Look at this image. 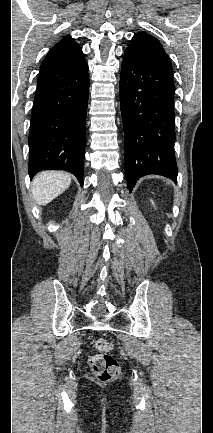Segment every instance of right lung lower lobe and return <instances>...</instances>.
I'll list each match as a JSON object with an SVG mask.
<instances>
[{
	"label": "right lung lower lobe",
	"mask_w": 213,
	"mask_h": 433,
	"mask_svg": "<svg viewBox=\"0 0 213 433\" xmlns=\"http://www.w3.org/2000/svg\"><path fill=\"white\" fill-rule=\"evenodd\" d=\"M88 95L84 58L40 69L29 132L31 178L41 170L61 169L83 183Z\"/></svg>",
	"instance_id": "right-lung-lower-lobe-1"
}]
</instances>
